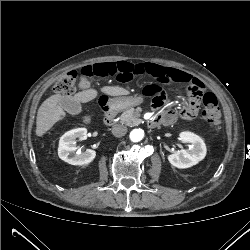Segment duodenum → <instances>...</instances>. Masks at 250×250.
Wrapping results in <instances>:
<instances>
[{"label":"duodenum","instance_id":"410a0bca","mask_svg":"<svg viewBox=\"0 0 250 250\" xmlns=\"http://www.w3.org/2000/svg\"><path fill=\"white\" fill-rule=\"evenodd\" d=\"M100 104L104 113V123L106 125H113L116 110L106 100L102 101ZM160 123H161V120L159 119V117L154 116L148 121V126L151 128H155L159 126Z\"/></svg>","mask_w":250,"mask_h":250}]
</instances>
